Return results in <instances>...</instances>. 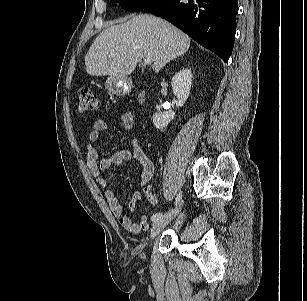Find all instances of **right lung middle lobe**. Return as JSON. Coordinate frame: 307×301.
<instances>
[{"label": "right lung middle lobe", "instance_id": "dd1d6c3e", "mask_svg": "<svg viewBox=\"0 0 307 301\" xmlns=\"http://www.w3.org/2000/svg\"><path fill=\"white\" fill-rule=\"evenodd\" d=\"M111 2H118L122 7L128 11H140L158 0H110Z\"/></svg>", "mask_w": 307, "mask_h": 301}]
</instances>
